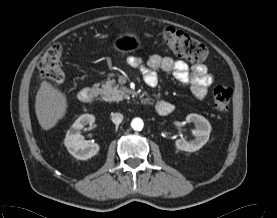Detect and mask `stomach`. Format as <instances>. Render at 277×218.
<instances>
[{"mask_svg":"<svg viewBox=\"0 0 277 218\" xmlns=\"http://www.w3.org/2000/svg\"><path fill=\"white\" fill-rule=\"evenodd\" d=\"M141 42L139 37L134 33H126L117 38L114 46L121 52H130L137 49Z\"/></svg>","mask_w":277,"mask_h":218,"instance_id":"0dacf381","label":"stomach"}]
</instances>
